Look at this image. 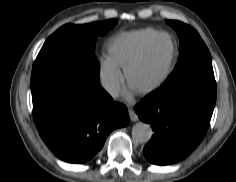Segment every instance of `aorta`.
<instances>
[{"mask_svg": "<svg viewBox=\"0 0 236 182\" xmlns=\"http://www.w3.org/2000/svg\"><path fill=\"white\" fill-rule=\"evenodd\" d=\"M152 130L150 125L138 122L132 127V137L138 143H146L151 139Z\"/></svg>", "mask_w": 236, "mask_h": 182, "instance_id": "aorta-1", "label": "aorta"}]
</instances>
